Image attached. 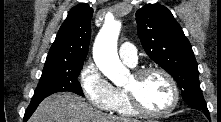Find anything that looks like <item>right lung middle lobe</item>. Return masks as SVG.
I'll list each match as a JSON object with an SVG mask.
<instances>
[{"label": "right lung middle lobe", "instance_id": "dd1d6c3e", "mask_svg": "<svg viewBox=\"0 0 221 122\" xmlns=\"http://www.w3.org/2000/svg\"><path fill=\"white\" fill-rule=\"evenodd\" d=\"M83 62H49L45 63L39 84L31 101L43 100L56 93L69 91L84 96L77 80Z\"/></svg>", "mask_w": 221, "mask_h": 122}]
</instances>
